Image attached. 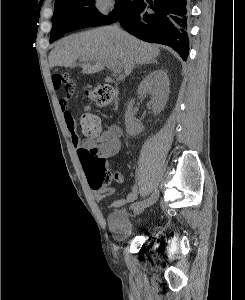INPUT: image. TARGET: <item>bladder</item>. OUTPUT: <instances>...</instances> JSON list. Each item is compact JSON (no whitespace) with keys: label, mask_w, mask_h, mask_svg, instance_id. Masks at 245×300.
<instances>
[{"label":"bladder","mask_w":245,"mask_h":300,"mask_svg":"<svg viewBox=\"0 0 245 300\" xmlns=\"http://www.w3.org/2000/svg\"><path fill=\"white\" fill-rule=\"evenodd\" d=\"M109 230L116 242H125L140 232V227L131 219L126 207L112 210L107 216Z\"/></svg>","instance_id":"bladder-1"}]
</instances>
